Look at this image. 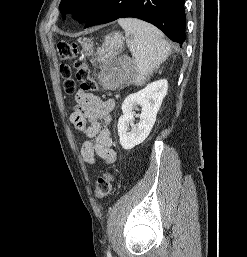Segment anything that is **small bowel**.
<instances>
[{"mask_svg": "<svg viewBox=\"0 0 247 257\" xmlns=\"http://www.w3.org/2000/svg\"><path fill=\"white\" fill-rule=\"evenodd\" d=\"M76 106L70 121L87 140L82 144L81 155L88 164L99 158L105 164L116 160L109 124L114 109L113 100H102L98 96L79 90L75 95Z\"/></svg>", "mask_w": 247, "mask_h": 257, "instance_id": "small-bowel-1", "label": "small bowel"}]
</instances>
